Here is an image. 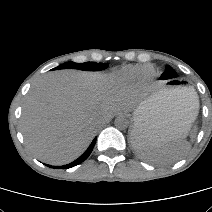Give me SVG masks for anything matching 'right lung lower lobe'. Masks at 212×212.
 <instances>
[{
    "label": "right lung lower lobe",
    "mask_w": 212,
    "mask_h": 212,
    "mask_svg": "<svg viewBox=\"0 0 212 212\" xmlns=\"http://www.w3.org/2000/svg\"><path fill=\"white\" fill-rule=\"evenodd\" d=\"M95 143H96V138H94V140L92 141V143L88 147V149L78 159H76L75 161L71 162L70 164H67V165H64V166H60V168H62V169H68V168L74 167V166L82 163L85 159H87V157L92 152ZM48 166L49 167H52V168H59L57 166H50V165H48Z\"/></svg>",
    "instance_id": "1"
}]
</instances>
